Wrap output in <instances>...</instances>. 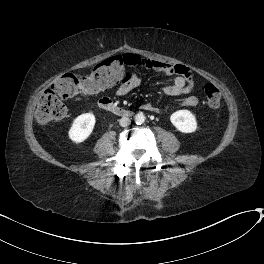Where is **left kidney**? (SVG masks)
Returning a JSON list of instances; mask_svg holds the SVG:
<instances>
[{
  "label": "left kidney",
  "mask_w": 264,
  "mask_h": 264,
  "mask_svg": "<svg viewBox=\"0 0 264 264\" xmlns=\"http://www.w3.org/2000/svg\"><path fill=\"white\" fill-rule=\"evenodd\" d=\"M171 123L182 133H192L197 129V121L189 110H178L170 116Z\"/></svg>",
  "instance_id": "5707ae66"
}]
</instances>
